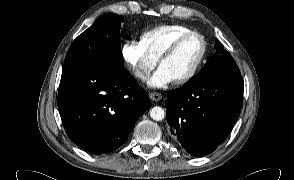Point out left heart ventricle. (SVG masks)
I'll return each instance as SVG.
<instances>
[{"instance_id":"1","label":"left heart ventricle","mask_w":294,"mask_h":180,"mask_svg":"<svg viewBox=\"0 0 294 180\" xmlns=\"http://www.w3.org/2000/svg\"><path fill=\"white\" fill-rule=\"evenodd\" d=\"M202 50L197 36L185 40L177 50L161 64L174 81L184 77L194 66Z\"/></svg>"}]
</instances>
